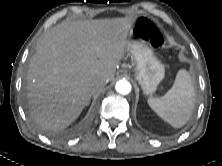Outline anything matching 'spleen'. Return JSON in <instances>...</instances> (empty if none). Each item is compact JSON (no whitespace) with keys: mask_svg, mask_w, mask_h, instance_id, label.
Wrapping results in <instances>:
<instances>
[{"mask_svg":"<svg viewBox=\"0 0 222 166\" xmlns=\"http://www.w3.org/2000/svg\"><path fill=\"white\" fill-rule=\"evenodd\" d=\"M148 105L172 127L184 126L194 108V87L189 73L179 70L171 89L162 97L148 99Z\"/></svg>","mask_w":222,"mask_h":166,"instance_id":"obj_1","label":"spleen"}]
</instances>
